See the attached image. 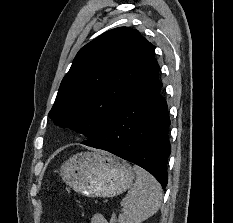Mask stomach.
Masks as SVG:
<instances>
[{
  "mask_svg": "<svg viewBox=\"0 0 233 223\" xmlns=\"http://www.w3.org/2000/svg\"><path fill=\"white\" fill-rule=\"evenodd\" d=\"M60 175L75 191L87 197L120 195L136 177L130 163L106 151L75 153L61 165Z\"/></svg>",
  "mask_w": 233,
  "mask_h": 223,
  "instance_id": "1",
  "label": "stomach"
}]
</instances>
